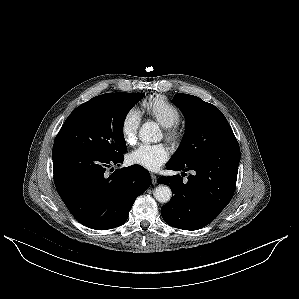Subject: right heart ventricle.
Returning a JSON list of instances; mask_svg holds the SVG:
<instances>
[{"mask_svg":"<svg viewBox=\"0 0 299 299\" xmlns=\"http://www.w3.org/2000/svg\"><path fill=\"white\" fill-rule=\"evenodd\" d=\"M142 111L163 127H171L181 119L179 109L163 95H154L141 103Z\"/></svg>","mask_w":299,"mask_h":299,"instance_id":"e07e8e85","label":"right heart ventricle"}]
</instances>
